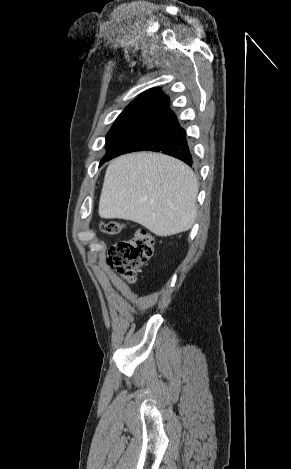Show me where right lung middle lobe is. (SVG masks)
Returning a JSON list of instances; mask_svg holds the SVG:
<instances>
[{
  "label": "right lung middle lobe",
  "mask_w": 291,
  "mask_h": 469,
  "mask_svg": "<svg viewBox=\"0 0 291 469\" xmlns=\"http://www.w3.org/2000/svg\"><path fill=\"white\" fill-rule=\"evenodd\" d=\"M150 118H152V116L148 114L121 113L106 136L107 153L101 160L100 165L106 161L107 157L119 144L139 129Z\"/></svg>",
  "instance_id": "dd1d6c3e"
}]
</instances>
